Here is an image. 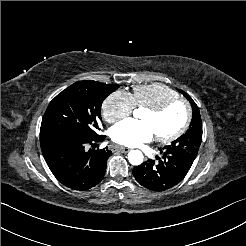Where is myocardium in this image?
Returning <instances> with one entry per match:
<instances>
[{"label":"myocardium","instance_id":"myocardium-1","mask_svg":"<svg viewBox=\"0 0 246 246\" xmlns=\"http://www.w3.org/2000/svg\"><path fill=\"white\" fill-rule=\"evenodd\" d=\"M181 104L184 108V118L179 126L173 133L166 135V136H156V139L160 143H170L174 140H176L178 137H180L188 128L189 123L191 121V107L190 104L185 100L184 98L180 96H176L173 98H170L168 100H165L164 102L153 106L148 107L145 110H147L150 114L157 116L165 112L169 107H171L174 104Z\"/></svg>","mask_w":246,"mask_h":246}]
</instances>
